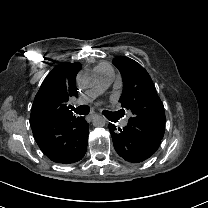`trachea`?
Segmentation results:
<instances>
[{"instance_id":"1","label":"trachea","mask_w":208,"mask_h":208,"mask_svg":"<svg viewBox=\"0 0 208 208\" xmlns=\"http://www.w3.org/2000/svg\"><path fill=\"white\" fill-rule=\"evenodd\" d=\"M71 109L79 115H87L90 111V108L87 105H81L77 108L71 107Z\"/></svg>"}]
</instances>
